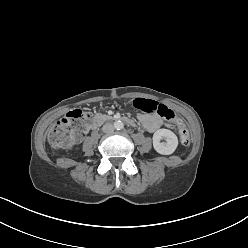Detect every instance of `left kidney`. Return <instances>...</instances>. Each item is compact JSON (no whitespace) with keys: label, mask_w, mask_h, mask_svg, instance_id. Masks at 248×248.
Returning <instances> with one entry per match:
<instances>
[{"label":"left kidney","mask_w":248,"mask_h":248,"mask_svg":"<svg viewBox=\"0 0 248 248\" xmlns=\"http://www.w3.org/2000/svg\"><path fill=\"white\" fill-rule=\"evenodd\" d=\"M166 140V143L161 142ZM178 146L177 136L168 129H159L153 134V147L159 154L170 155Z\"/></svg>","instance_id":"left-kidney-1"}]
</instances>
